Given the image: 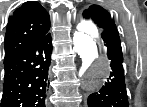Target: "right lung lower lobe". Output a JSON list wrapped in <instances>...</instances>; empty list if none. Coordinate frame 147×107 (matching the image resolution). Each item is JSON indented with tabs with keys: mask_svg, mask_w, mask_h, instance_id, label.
<instances>
[{
	"mask_svg": "<svg viewBox=\"0 0 147 107\" xmlns=\"http://www.w3.org/2000/svg\"><path fill=\"white\" fill-rule=\"evenodd\" d=\"M51 51L48 33L5 58L1 107H45Z\"/></svg>",
	"mask_w": 147,
	"mask_h": 107,
	"instance_id": "obj_1",
	"label": "right lung lower lobe"
}]
</instances>
